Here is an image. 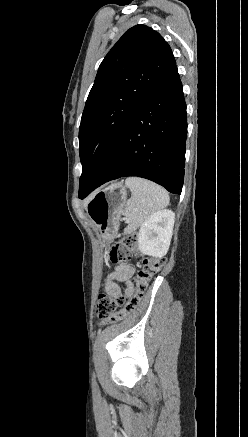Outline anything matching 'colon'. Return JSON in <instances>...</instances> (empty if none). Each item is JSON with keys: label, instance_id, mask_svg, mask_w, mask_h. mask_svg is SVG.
<instances>
[{"label": "colon", "instance_id": "1", "mask_svg": "<svg viewBox=\"0 0 248 437\" xmlns=\"http://www.w3.org/2000/svg\"><path fill=\"white\" fill-rule=\"evenodd\" d=\"M137 240L135 236H127L118 241L110 252V259L114 264L129 262L135 253ZM163 258H145L141 269L136 277L135 292L126 299L119 295L112 297L108 294H99L97 299V315L103 320V324H112L128 317L139 305L148 284L153 276L164 266Z\"/></svg>", "mask_w": 248, "mask_h": 437}]
</instances>
